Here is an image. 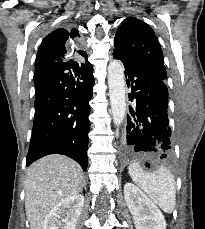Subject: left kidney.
Masks as SVG:
<instances>
[{"label": "left kidney", "instance_id": "1", "mask_svg": "<svg viewBox=\"0 0 205 229\" xmlns=\"http://www.w3.org/2000/svg\"><path fill=\"white\" fill-rule=\"evenodd\" d=\"M124 197L136 229H166L160 209L137 186L126 183Z\"/></svg>", "mask_w": 205, "mask_h": 229}]
</instances>
